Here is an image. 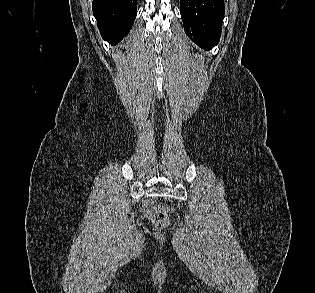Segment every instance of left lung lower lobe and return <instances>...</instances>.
Segmentation results:
<instances>
[{"mask_svg": "<svg viewBox=\"0 0 315 293\" xmlns=\"http://www.w3.org/2000/svg\"><path fill=\"white\" fill-rule=\"evenodd\" d=\"M180 12L186 34L209 50L218 44L224 16L223 0H180Z\"/></svg>", "mask_w": 315, "mask_h": 293, "instance_id": "left-lung-lower-lobe-1", "label": "left lung lower lobe"}]
</instances>
